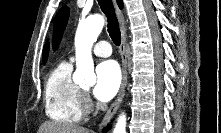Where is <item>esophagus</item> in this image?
<instances>
[{"label": "esophagus", "mask_w": 221, "mask_h": 133, "mask_svg": "<svg viewBox=\"0 0 221 133\" xmlns=\"http://www.w3.org/2000/svg\"><path fill=\"white\" fill-rule=\"evenodd\" d=\"M114 5L121 29V45H120V57H121V64H122V82L121 86L118 92V95L115 99V101L112 103L108 111L106 112L105 116L103 117L100 125H99V130H101L103 127H105L108 122L112 119V117L115 115L116 111L118 110L124 94L126 90V85H127V56H126V28H125V18L123 15V12L119 9V7L116 4V1L114 0Z\"/></svg>", "instance_id": "esophagus-1"}]
</instances>
